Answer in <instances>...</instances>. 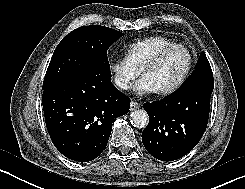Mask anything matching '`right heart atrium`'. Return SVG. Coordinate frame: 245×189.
Wrapping results in <instances>:
<instances>
[{
	"mask_svg": "<svg viewBox=\"0 0 245 189\" xmlns=\"http://www.w3.org/2000/svg\"><path fill=\"white\" fill-rule=\"evenodd\" d=\"M109 72L114 85L122 91L130 89L133 81L139 76L137 70L127 57L113 58L109 61Z\"/></svg>",
	"mask_w": 245,
	"mask_h": 189,
	"instance_id": "1",
	"label": "right heart atrium"
}]
</instances>
